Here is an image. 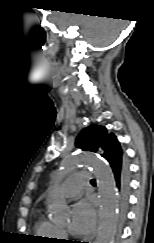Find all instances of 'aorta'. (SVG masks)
<instances>
[{
	"label": "aorta",
	"mask_w": 154,
	"mask_h": 243,
	"mask_svg": "<svg viewBox=\"0 0 154 243\" xmlns=\"http://www.w3.org/2000/svg\"><path fill=\"white\" fill-rule=\"evenodd\" d=\"M87 166L93 169L100 194V218L98 234L93 243H113L117 226V196L115 179L110 166L103 160L88 152H79L66 157L61 163V169L54 178L55 188L48 199L49 209L54 217L65 214L67 204L60 194L58 184L74 169Z\"/></svg>",
	"instance_id": "762f6f07"
}]
</instances>
